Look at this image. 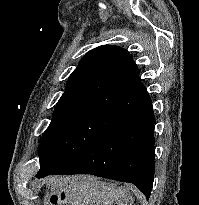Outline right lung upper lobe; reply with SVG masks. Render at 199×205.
Returning a JSON list of instances; mask_svg holds the SVG:
<instances>
[{
  "instance_id": "right-lung-upper-lobe-1",
  "label": "right lung upper lobe",
  "mask_w": 199,
  "mask_h": 205,
  "mask_svg": "<svg viewBox=\"0 0 199 205\" xmlns=\"http://www.w3.org/2000/svg\"><path fill=\"white\" fill-rule=\"evenodd\" d=\"M139 73L133 56L126 49L99 46L80 60L54 112L89 108L127 118L144 105L130 87L141 83Z\"/></svg>"
}]
</instances>
